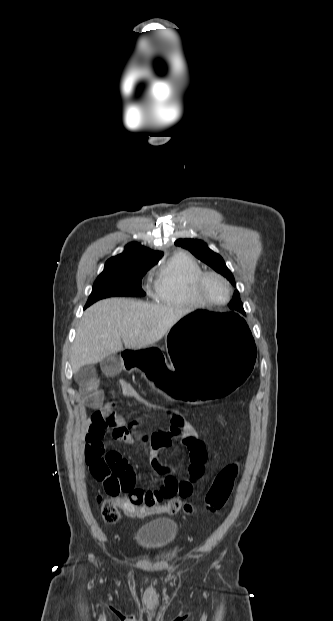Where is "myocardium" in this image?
Returning a JSON list of instances; mask_svg holds the SVG:
<instances>
[{
  "label": "myocardium",
  "instance_id": "myocardium-1",
  "mask_svg": "<svg viewBox=\"0 0 333 621\" xmlns=\"http://www.w3.org/2000/svg\"><path fill=\"white\" fill-rule=\"evenodd\" d=\"M209 277H214V278L221 280L226 286L227 294L224 300L213 301L204 294L203 285H204L205 280ZM193 293L201 305L221 306V305L226 304L230 300L231 295H232V285L230 281L222 274L215 272V271H205V272H202L199 276H197V278L194 280Z\"/></svg>",
  "mask_w": 333,
  "mask_h": 621
}]
</instances>
